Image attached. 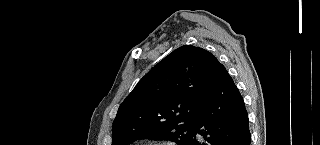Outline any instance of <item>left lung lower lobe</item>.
<instances>
[{
	"label": "left lung lower lobe",
	"mask_w": 320,
	"mask_h": 145,
	"mask_svg": "<svg viewBox=\"0 0 320 145\" xmlns=\"http://www.w3.org/2000/svg\"><path fill=\"white\" fill-rule=\"evenodd\" d=\"M204 95L203 108L187 145H250L243 98L221 63L209 74Z\"/></svg>",
	"instance_id": "obj_1"
}]
</instances>
